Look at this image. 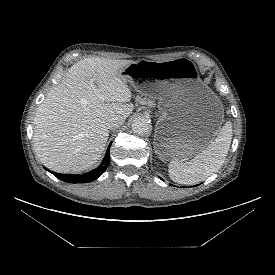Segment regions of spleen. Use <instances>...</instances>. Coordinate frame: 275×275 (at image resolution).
<instances>
[{
  "label": "spleen",
  "instance_id": "spleen-1",
  "mask_svg": "<svg viewBox=\"0 0 275 275\" xmlns=\"http://www.w3.org/2000/svg\"><path fill=\"white\" fill-rule=\"evenodd\" d=\"M232 139V124L226 122L217 137L188 162L172 160L168 167L170 178L179 184L192 185L217 172L228 154Z\"/></svg>",
  "mask_w": 275,
  "mask_h": 275
}]
</instances>
